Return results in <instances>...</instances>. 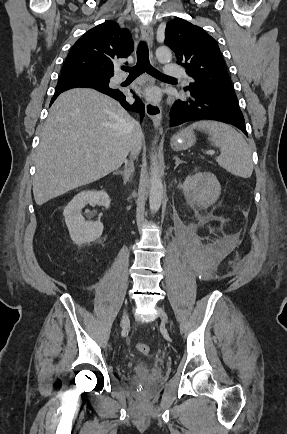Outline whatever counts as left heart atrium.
<instances>
[{
  "label": "left heart atrium",
  "instance_id": "left-heart-atrium-1",
  "mask_svg": "<svg viewBox=\"0 0 287 434\" xmlns=\"http://www.w3.org/2000/svg\"><path fill=\"white\" fill-rule=\"evenodd\" d=\"M147 96L152 100H156L159 98L160 92L156 88H151L147 91Z\"/></svg>",
  "mask_w": 287,
  "mask_h": 434
}]
</instances>
